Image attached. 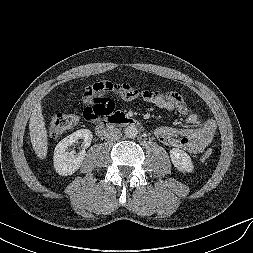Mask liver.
I'll list each match as a JSON object with an SVG mask.
<instances>
[{
  "instance_id": "obj_1",
  "label": "liver",
  "mask_w": 253,
  "mask_h": 253,
  "mask_svg": "<svg viewBox=\"0 0 253 253\" xmlns=\"http://www.w3.org/2000/svg\"><path fill=\"white\" fill-rule=\"evenodd\" d=\"M29 131L33 150L38 158L41 160L45 159L48 151V135L40 103L32 111Z\"/></svg>"
}]
</instances>
